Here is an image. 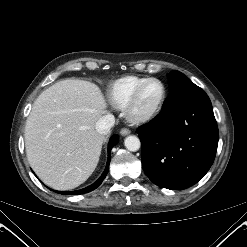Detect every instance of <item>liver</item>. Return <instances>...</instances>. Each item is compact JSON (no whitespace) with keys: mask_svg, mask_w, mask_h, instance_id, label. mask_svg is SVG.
I'll return each mask as SVG.
<instances>
[{"mask_svg":"<svg viewBox=\"0 0 247 247\" xmlns=\"http://www.w3.org/2000/svg\"><path fill=\"white\" fill-rule=\"evenodd\" d=\"M105 108L99 87L84 80L59 81L38 96L26 122L25 147L46 185L70 190L93 173L104 142L95 125Z\"/></svg>","mask_w":247,"mask_h":247,"instance_id":"liver-1","label":"liver"}]
</instances>
